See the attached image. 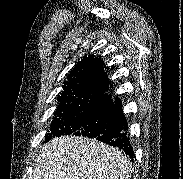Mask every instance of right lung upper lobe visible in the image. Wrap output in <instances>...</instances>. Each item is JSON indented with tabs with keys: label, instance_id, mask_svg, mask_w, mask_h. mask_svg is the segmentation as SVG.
<instances>
[{
	"label": "right lung upper lobe",
	"instance_id": "cb5924a9",
	"mask_svg": "<svg viewBox=\"0 0 183 179\" xmlns=\"http://www.w3.org/2000/svg\"><path fill=\"white\" fill-rule=\"evenodd\" d=\"M103 61L94 55L84 56L64 82L60 103L92 96L107 97L110 81L103 71Z\"/></svg>",
	"mask_w": 183,
	"mask_h": 179
}]
</instances>
